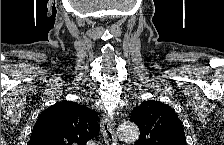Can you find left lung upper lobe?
<instances>
[{"label":"left lung upper lobe","instance_id":"5c2ea615","mask_svg":"<svg viewBox=\"0 0 224 145\" xmlns=\"http://www.w3.org/2000/svg\"><path fill=\"white\" fill-rule=\"evenodd\" d=\"M130 121L140 130L136 145H186L181 120L162 102H142L133 109Z\"/></svg>","mask_w":224,"mask_h":145}]
</instances>
